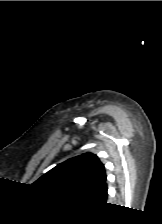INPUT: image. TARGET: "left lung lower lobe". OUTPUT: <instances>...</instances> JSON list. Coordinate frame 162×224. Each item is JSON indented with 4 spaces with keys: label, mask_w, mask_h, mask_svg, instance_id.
<instances>
[{
    "label": "left lung lower lobe",
    "mask_w": 162,
    "mask_h": 224,
    "mask_svg": "<svg viewBox=\"0 0 162 224\" xmlns=\"http://www.w3.org/2000/svg\"><path fill=\"white\" fill-rule=\"evenodd\" d=\"M87 199L96 202L105 204L107 200V185L106 183L95 193H93L91 196H89Z\"/></svg>",
    "instance_id": "0a47b994"
}]
</instances>
